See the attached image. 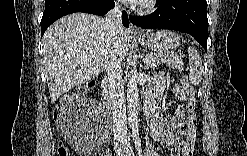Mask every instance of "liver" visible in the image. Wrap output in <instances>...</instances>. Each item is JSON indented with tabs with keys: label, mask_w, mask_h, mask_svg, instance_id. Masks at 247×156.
Wrapping results in <instances>:
<instances>
[{
	"label": "liver",
	"mask_w": 247,
	"mask_h": 156,
	"mask_svg": "<svg viewBox=\"0 0 247 156\" xmlns=\"http://www.w3.org/2000/svg\"><path fill=\"white\" fill-rule=\"evenodd\" d=\"M129 37V30L123 27L112 36L104 18L86 13H73L53 23L42 38L51 102L98 76L111 58L122 61Z\"/></svg>",
	"instance_id": "6515ba94"
}]
</instances>
